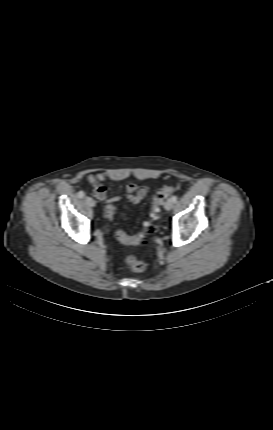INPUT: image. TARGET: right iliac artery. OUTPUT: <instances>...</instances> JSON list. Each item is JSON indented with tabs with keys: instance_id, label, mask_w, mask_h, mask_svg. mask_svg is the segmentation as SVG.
Returning a JSON list of instances; mask_svg holds the SVG:
<instances>
[{
	"instance_id": "right-iliac-artery-1",
	"label": "right iliac artery",
	"mask_w": 273,
	"mask_h": 430,
	"mask_svg": "<svg viewBox=\"0 0 273 430\" xmlns=\"http://www.w3.org/2000/svg\"><path fill=\"white\" fill-rule=\"evenodd\" d=\"M77 196L79 198H83V197H85V192L84 191H80V192H78Z\"/></svg>"
}]
</instances>
